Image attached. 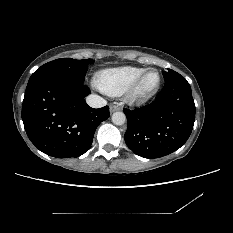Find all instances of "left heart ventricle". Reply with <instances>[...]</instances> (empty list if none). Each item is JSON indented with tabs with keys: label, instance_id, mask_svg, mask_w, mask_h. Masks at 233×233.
Listing matches in <instances>:
<instances>
[{
	"label": "left heart ventricle",
	"instance_id": "b2bd125f",
	"mask_svg": "<svg viewBox=\"0 0 233 233\" xmlns=\"http://www.w3.org/2000/svg\"><path fill=\"white\" fill-rule=\"evenodd\" d=\"M157 79L158 76L155 71L149 72L143 79V82L141 84V91L147 92L152 89L156 85Z\"/></svg>",
	"mask_w": 233,
	"mask_h": 233
}]
</instances>
